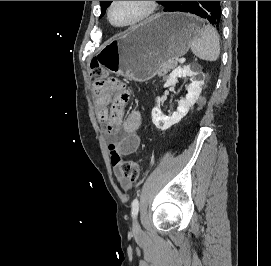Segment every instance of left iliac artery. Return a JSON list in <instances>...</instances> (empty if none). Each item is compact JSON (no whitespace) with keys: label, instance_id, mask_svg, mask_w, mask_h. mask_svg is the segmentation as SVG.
Returning a JSON list of instances; mask_svg holds the SVG:
<instances>
[{"label":"left iliac artery","instance_id":"left-iliac-artery-1","mask_svg":"<svg viewBox=\"0 0 271 266\" xmlns=\"http://www.w3.org/2000/svg\"><path fill=\"white\" fill-rule=\"evenodd\" d=\"M139 211V201L137 198H135L132 202V216L136 217Z\"/></svg>","mask_w":271,"mask_h":266}]
</instances>
